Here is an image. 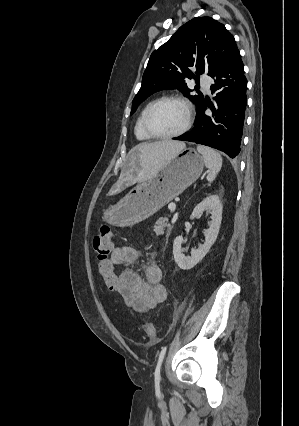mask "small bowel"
Wrapping results in <instances>:
<instances>
[{"label":"small bowel","mask_w":299,"mask_h":426,"mask_svg":"<svg viewBox=\"0 0 299 426\" xmlns=\"http://www.w3.org/2000/svg\"><path fill=\"white\" fill-rule=\"evenodd\" d=\"M138 252L131 246L116 247L110 261L114 268L119 267V295L124 303L139 313L153 309L163 302L167 289L162 283V271L155 261H150L142 267L143 277L135 265Z\"/></svg>","instance_id":"small-bowel-1"}]
</instances>
